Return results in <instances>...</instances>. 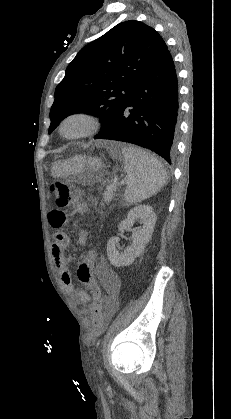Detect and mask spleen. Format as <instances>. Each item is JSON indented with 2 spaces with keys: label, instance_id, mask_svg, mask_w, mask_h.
I'll use <instances>...</instances> for the list:
<instances>
[{
  "label": "spleen",
  "instance_id": "1",
  "mask_svg": "<svg viewBox=\"0 0 231 419\" xmlns=\"http://www.w3.org/2000/svg\"><path fill=\"white\" fill-rule=\"evenodd\" d=\"M122 154L126 172L124 200L127 204L142 202L166 184L168 174L152 154L135 146H125Z\"/></svg>",
  "mask_w": 231,
  "mask_h": 419
}]
</instances>
